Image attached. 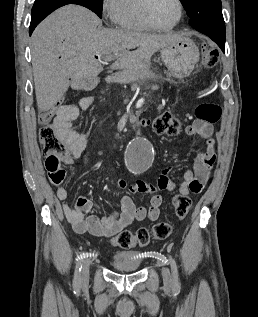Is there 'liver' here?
<instances>
[{"instance_id":"obj_1","label":"liver","mask_w":258,"mask_h":317,"mask_svg":"<svg viewBox=\"0 0 258 317\" xmlns=\"http://www.w3.org/2000/svg\"><path fill=\"white\" fill-rule=\"evenodd\" d=\"M97 14L66 4L49 14L31 36V56L36 100L40 110L54 106L68 86L86 88L98 82L103 70L99 58L115 54L110 68L146 70L151 56L160 48L175 44L183 34H151L122 28H101Z\"/></svg>"}]
</instances>
